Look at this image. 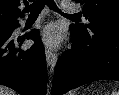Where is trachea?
<instances>
[{
  "instance_id": "3493384b",
  "label": "trachea",
  "mask_w": 119,
  "mask_h": 95,
  "mask_svg": "<svg viewBox=\"0 0 119 95\" xmlns=\"http://www.w3.org/2000/svg\"><path fill=\"white\" fill-rule=\"evenodd\" d=\"M45 5H47L53 11L61 13L59 8L56 6L54 0H36L31 5H26V8L24 9V12H30V16H35V15L40 14V12L45 7ZM66 15L77 17L76 14H73V15L66 14Z\"/></svg>"
}]
</instances>
